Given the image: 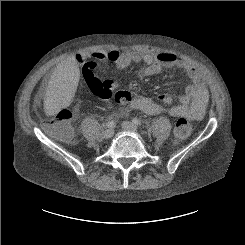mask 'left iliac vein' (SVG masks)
Here are the masks:
<instances>
[{
  "label": "left iliac vein",
  "mask_w": 245,
  "mask_h": 245,
  "mask_svg": "<svg viewBox=\"0 0 245 245\" xmlns=\"http://www.w3.org/2000/svg\"><path fill=\"white\" fill-rule=\"evenodd\" d=\"M122 128L123 130L125 131H128V132H134L136 133L137 132V126L135 124H133L132 122H129V121H124L122 123Z\"/></svg>",
  "instance_id": "1"
}]
</instances>
